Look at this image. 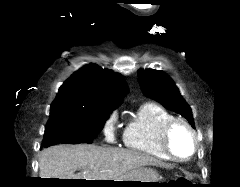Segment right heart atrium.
<instances>
[{
	"label": "right heart atrium",
	"instance_id": "1",
	"mask_svg": "<svg viewBox=\"0 0 240 187\" xmlns=\"http://www.w3.org/2000/svg\"><path fill=\"white\" fill-rule=\"evenodd\" d=\"M118 121V115L116 112H112L108 115V117L105 119L103 126H102V132L104 135V139L107 142H114L116 139V124Z\"/></svg>",
	"mask_w": 240,
	"mask_h": 187
}]
</instances>
